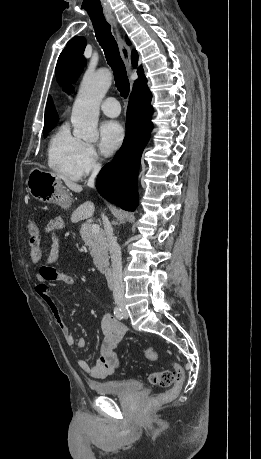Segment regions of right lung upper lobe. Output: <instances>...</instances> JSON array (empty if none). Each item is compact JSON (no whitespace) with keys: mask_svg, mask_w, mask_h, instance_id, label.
<instances>
[{"mask_svg":"<svg viewBox=\"0 0 261 459\" xmlns=\"http://www.w3.org/2000/svg\"><path fill=\"white\" fill-rule=\"evenodd\" d=\"M137 61H138V54L136 50H133L132 51V65L134 67L137 66ZM137 74L139 76V79L135 81L132 93L148 88L146 85V78L144 76V71H143L142 66H139L137 70ZM44 120H45L44 124L56 123V121L58 120V116H57L56 110L54 108V105H53V102L50 96L47 101Z\"/></svg>","mask_w":261,"mask_h":459,"instance_id":"right-lung-upper-lobe-1","label":"right lung upper lobe"}]
</instances>
